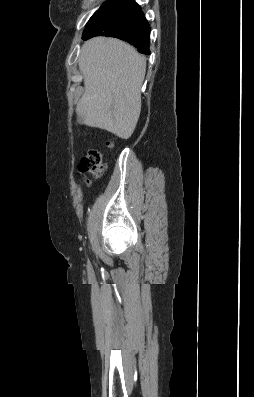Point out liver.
<instances>
[{
	"label": "liver",
	"instance_id": "6515ba94",
	"mask_svg": "<svg viewBox=\"0 0 254 397\" xmlns=\"http://www.w3.org/2000/svg\"><path fill=\"white\" fill-rule=\"evenodd\" d=\"M78 63L85 86L78 116L89 127L128 139L140 116L146 58L121 40L95 37L84 43Z\"/></svg>",
	"mask_w": 254,
	"mask_h": 397
}]
</instances>
